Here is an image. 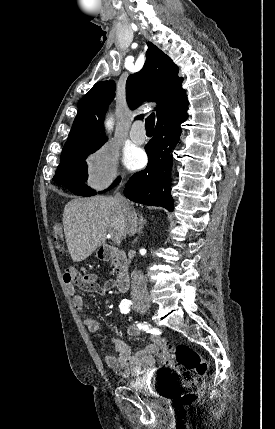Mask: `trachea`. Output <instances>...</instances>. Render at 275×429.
<instances>
[{"instance_id": "3493384b", "label": "trachea", "mask_w": 275, "mask_h": 429, "mask_svg": "<svg viewBox=\"0 0 275 429\" xmlns=\"http://www.w3.org/2000/svg\"><path fill=\"white\" fill-rule=\"evenodd\" d=\"M154 125H155V114L152 113L151 115H149L146 118V121H145V129H146V131L147 132H153Z\"/></svg>"}]
</instances>
